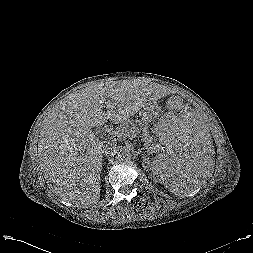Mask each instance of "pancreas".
Returning <instances> with one entry per match:
<instances>
[{"label": "pancreas", "mask_w": 253, "mask_h": 253, "mask_svg": "<svg viewBox=\"0 0 253 253\" xmlns=\"http://www.w3.org/2000/svg\"><path fill=\"white\" fill-rule=\"evenodd\" d=\"M132 133L140 134L146 147H149L153 141V135L150 133L148 124L142 120H131L109 132V137L113 140H123L130 137Z\"/></svg>", "instance_id": "pancreas-1"}]
</instances>
